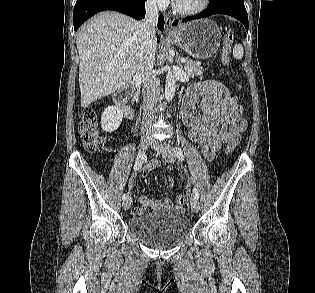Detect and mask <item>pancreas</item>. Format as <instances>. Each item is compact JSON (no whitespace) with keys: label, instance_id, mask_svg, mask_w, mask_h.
I'll use <instances>...</instances> for the list:
<instances>
[{"label":"pancreas","instance_id":"pancreas-1","mask_svg":"<svg viewBox=\"0 0 315 293\" xmlns=\"http://www.w3.org/2000/svg\"><path fill=\"white\" fill-rule=\"evenodd\" d=\"M184 70L187 76L190 78L201 76L204 73V70L202 69L199 62L193 61L188 58L186 59V62L184 64Z\"/></svg>","mask_w":315,"mask_h":293}]
</instances>
